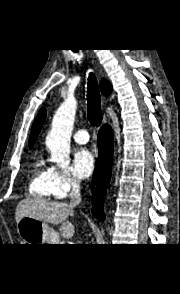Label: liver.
Returning a JSON list of instances; mask_svg holds the SVG:
<instances>
[{"label":"liver","instance_id":"6515ba94","mask_svg":"<svg viewBox=\"0 0 180 294\" xmlns=\"http://www.w3.org/2000/svg\"><path fill=\"white\" fill-rule=\"evenodd\" d=\"M73 215V207L58 201H49L41 198L21 200L15 211L16 223L24 217H31L44 223L61 224L60 233L63 237L70 238L75 233L74 225L66 221Z\"/></svg>","mask_w":180,"mask_h":294}]
</instances>
